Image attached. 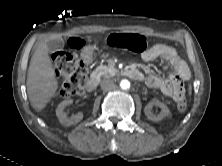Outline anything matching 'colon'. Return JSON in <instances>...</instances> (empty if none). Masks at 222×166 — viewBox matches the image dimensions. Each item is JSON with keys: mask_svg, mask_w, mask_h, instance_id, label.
<instances>
[{"mask_svg": "<svg viewBox=\"0 0 222 166\" xmlns=\"http://www.w3.org/2000/svg\"><path fill=\"white\" fill-rule=\"evenodd\" d=\"M106 44L113 48L142 52L146 48L147 39L137 34L114 33L107 38ZM68 46L71 50H79L84 46V42L78 38H73L69 40ZM52 63L55 72L63 78L61 87L63 97L68 98L84 93L87 83V70L83 62L68 52L59 51L52 55ZM177 108L180 111L187 108V101L184 97L178 100Z\"/></svg>", "mask_w": 222, "mask_h": 166, "instance_id": "5ec220e1", "label": "colon"}]
</instances>
